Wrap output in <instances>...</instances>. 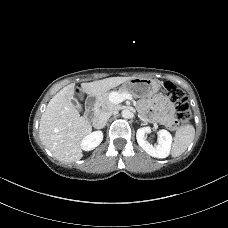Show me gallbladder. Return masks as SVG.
<instances>
[{
  "instance_id": "gallbladder-1",
  "label": "gallbladder",
  "mask_w": 228,
  "mask_h": 228,
  "mask_svg": "<svg viewBox=\"0 0 228 228\" xmlns=\"http://www.w3.org/2000/svg\"><path fill=\"white\" fill-rule=\"evenodd\" d=\"M70 100L75 104V106L77 107V109L79 111H83V108L82 106L79 104V102L72 96L70 97Z\"/></svg>"
}]
</instances>
